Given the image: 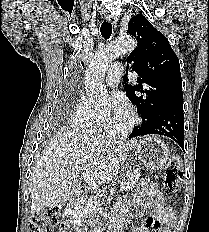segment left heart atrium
<instances>
[{
  "label": "left heart atrium",
  "instance_id": "left-heart-atrium-1",
  "mask_svg": "<svg viewBox=\"0 0 209 232\" xmlns=\"http://www.w3.org/2000/svg\"><path fill=\"white\" fill-rule=\"evenodd\" d=\"M111 101L113 108L111 119L115 120L128 114L129 103L123 95L116 93L112 96Z\"/></svg>",
  "mask_w": 209,
  "mask_h": 232
}]
</instances>
